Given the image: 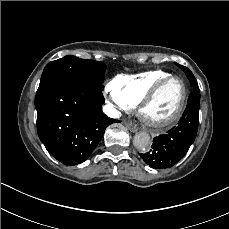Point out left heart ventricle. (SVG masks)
<instances>
[{"label":"left heart ventricle","mask_w":229,"mask_h":229,"mask_svg":"<svg viewBox=\"0 0 229 229\" xmlns=\"http://www.w3.org/2000/svg\"><path fill=\"white\" fill-rule=\"evenodd\" d=\"M185 99V87L180 79L161 87L146 105L147 115L155 122L174 117Z\"/></svg>","instance_id":"1"}]
</instances>
